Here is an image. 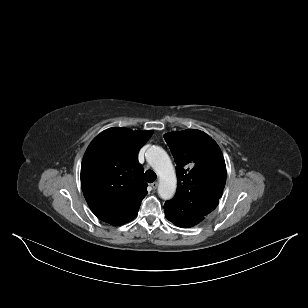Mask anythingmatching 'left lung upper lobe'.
I'll list each match as a JSON object with an SVG mask.
<instances>
[{
    "instance_id": "obj_1",
    "label": "left lung upper lobe",
    "mask_w": 308,
    "mask_h": 308,
    "mask_svg": "<svg viewBox=\"0 0 308 308\" xmlns=\"http://www.w3.org/2000/svg\"><path fill=\"white\" fill-rule=\"evenodd\" d=\"M164 138L173 154L178 188L164 205L166 218L185 223L205 217L218 205L226 183V165L217 143L206 133L187 129Z\"/></svg>"
}]
</instances>
